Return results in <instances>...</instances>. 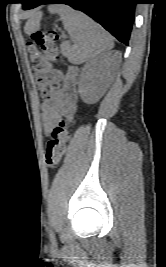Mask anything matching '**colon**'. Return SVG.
I'll list each match as a JSON object with an SVG mask.
<instances>
[{
	"instance_id": "1",
	"label": "colon",
	"mask_w": 166,
	"mask_h": 267,
	"mask_svg": "<svg viewBox=\"0 0 166 267\" xmlns=\"http://www.w3.org/2000/svg\"><path fill=\"white\" fill-rule=\"evenodd\" d=\"M61 37L62 33L58 30H39L30 35L27 43L41 95L46 99L52 96L61 78V74L52 69V64L60 59L58 41ZM69 139V124L62 119L54 127L47 142L45 161L48 167L54 168L59 164L66 152Z\"/></svg>"
}]
</instances>
